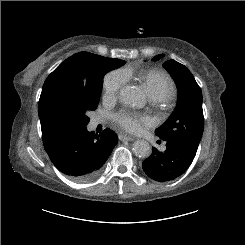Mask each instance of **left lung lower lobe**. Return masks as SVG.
Returning a JSON list of instances; mask_svg holds the SVG:
<instances>
[{
    "label": "left lung lower lobe",
    "instance_id": "obj_1",
    "mask_svg": "<svg viewBox=\"0 0 245 245\" xmlns=\"http://www.w3.org/2000/svg\"><path fill=\"white\" fill-rule=\"evenodd\" d=\"M165 142L164 152L154 148L152 154L142 163L144 172L159 182L171 181L181 176L191 165L197 151L181 141Z\"/></svg>",
    "mask_w": 245,
    "mask_h": 245
}]
</instances>
